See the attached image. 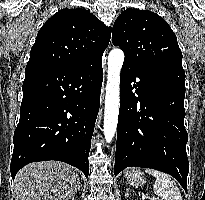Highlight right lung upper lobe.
Here are the masks:
<instances>
[{
  "instance_id": "obj_1",
  "label": "right lung upper lobe",
  "mask_w": 205,
  "mask_h": 200,
  "mask_svg": "<svg viewBox=\"0 0 205 200\" xmlns=\"http://www.w3.org/2000/svg\"><path fill=\"white\" fill-rule=\"evenodd\" d=\"M111 29L85 9H62L37 34L27 66H76L102 58Z\"/></svg>"
}]
</instances>
